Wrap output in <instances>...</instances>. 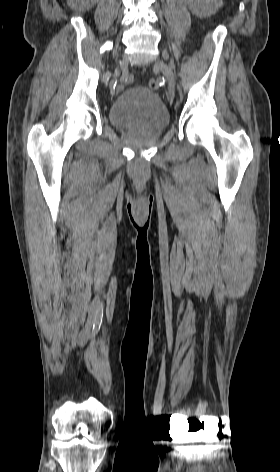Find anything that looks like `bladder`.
<instances>
[{"instance_id": "1", "label": "bladder", "mask_w": 280, "mask_h": 472, "mask_svg": "<svg viewBox=\"0 0 280 472\" xmlns=\"http://www.w3.org/2000/svg\"><path fill=\"white\" fill-rule=\"evenodd\" d=\"M169 112L152 90L134 86L124 90L109 108V120L121 129L162 131L169 124Z\"/></svg>"}]
</instances>
